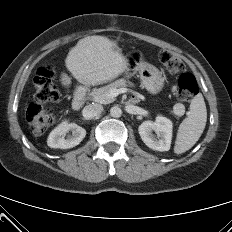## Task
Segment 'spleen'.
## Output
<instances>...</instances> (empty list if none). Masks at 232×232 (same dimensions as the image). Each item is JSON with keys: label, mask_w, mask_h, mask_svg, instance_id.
Returning <instances> with one entry per match:
<instances>
[{"label": "spleen", "mask_w": 232, "mask_h": 232, "mask_svg": "<svg viewBox=\"0 0 232 232\" xmlns=\"http://www.w3.org/2000/svg\"><path fill=\"white\" fill-rule=\"evenodd\" d=\"M207 121V110L202 94L191 101L187 118L179 125L174 152L181 154L189 150L200 138Z\"/></svg>", "instance_id": "spleen-1"}]
</instances>
